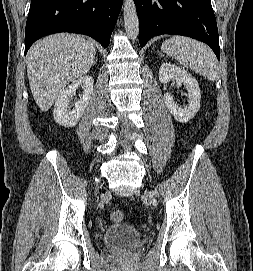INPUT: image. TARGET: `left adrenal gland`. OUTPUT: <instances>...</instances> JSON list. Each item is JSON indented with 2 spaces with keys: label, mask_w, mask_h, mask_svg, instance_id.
I'll return each mask as SVG.
<instances>
[{
  "label": "left adrenal gland",
  "mask_w": 253,
  "mask_h": 271,
  "mask_svg": "<svg viewBox=\"0 0 253 271\" xmlns=\"http://www.w3.org/2000/svg\"><path fill=\"white\" fill-rule=\"evenodd\" d=\"M159 55H162V53H160L159 51H157Z\"/></svg>",
  "instance_id": "left-adrenal-gland-1"
}]
</instances>
